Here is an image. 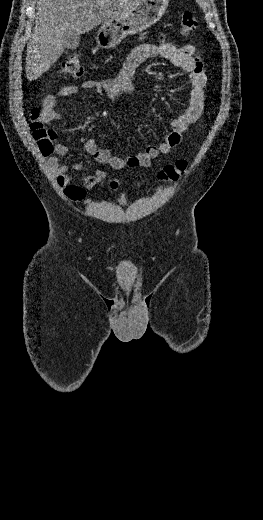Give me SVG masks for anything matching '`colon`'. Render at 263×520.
Masks as SVG:
<instances>
[{"instance_id":"colon-1","label":"colon","mask_w":263,"mask_h":520,"mask_svg":"<svg viewBox=\"0 0 263 520\" xmlns=\"http://www.w3.org/2000/svg\"><path fill=\"white\" fill-rule=\"evenodd\" d=\"M181 30L184 34L193 33L198 26L196 15L193 11H185L181 16ZM60 71L66 76L79 78L84 73L81 57L77 53H72L62 64ZM30 128L37 145L44 156H48L53 152L57 135L53 129L48 127L41 119L40 111L35 108L31 112ZM188 167V162L184 159L176 160L172 164L165 165L158 173L159 180L163 182L176 181L182 176ZM112 188L120 185L118 179H112L110 182Z\"/></svg>"}]
</instances>
